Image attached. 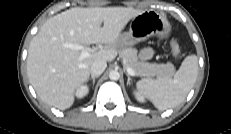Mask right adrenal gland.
<instances>
[{"label":"right adrenal gland","mask_w":231,"mask_h":134,"mask_svg":"<svg viewBox=\"0 0 231 134\" xmlns=\"http://www.w3.org/2000/svg\"><path fill=\"white\" fill-rule=\"evenodd\" d=\"M99 76H91V80H92V83H93V86L95 85V79L98 78Z\"/></svg>","instance_id":"2a0ac1e0"}]
</instances>
